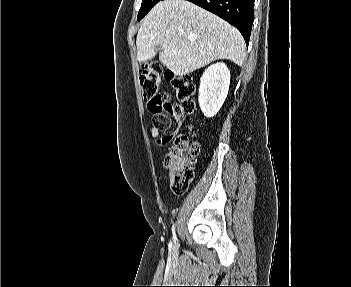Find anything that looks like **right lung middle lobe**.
Instances as JSON below:
<instances>
[{
	"mask_svg": "<svg viewBox=\"0 0 351 287\" xmlns=\"http://www.w3.org/2000/svg\"><path fill=\"white\" fill-rule=\"evenodd\" d=\"M160 0H142L137 19H142Z\"/></svg>",
	"mask_w": 351,
	"mask_h": 287,
	"instance_id": "1",
	"label": "right lung middle lobe"
}]
</instances>
